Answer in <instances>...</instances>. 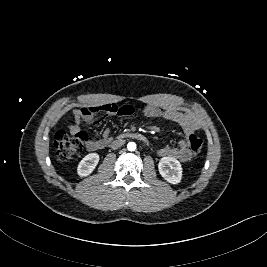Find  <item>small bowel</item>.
Segmentation results:
<instances>
[{
  "instance_id": "small-bowel-1",
  "label": "small bowel",
  "mask_w": 267,
  "mask_h": 267,
  "mask_svg": "<svg viewBox=\"0 0 267 267\" xmlns=\"http://www.w3.org/2000/svg\"><path fill=\"white\" fill-rule=\"evenodd\" d=\"M134 108L131 105L117 106L114 104H105L100 106L82 107L73 111L74 120L70 124L69 129L72 132L81 131V123L90 122L97 114H117L121 116H129L133 114ZM144 116L148 118H163L172 121L180 126L183 131L184 138L180 139L176 145H166L159 149L158 153L162 157H174L180 161H188L191 158L188 137L199 131V125L196 119L189 113L181 112L176 109H161L154 104H148L142 109ZM100 121H95L99 124ZM111 140L110 131L103 130L101 137L98 139H90L86 141V148L89 151H96L104 148Z\"/></svg>"
}]
</instances>
